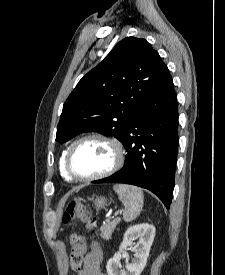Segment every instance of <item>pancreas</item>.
I'll list each match as a JSON object with an SVG mask.
<instances>
[{"label": "pancreas", "instance_id": "1", "mask_svg": "<svg viewBox=\"0 0 225 275\" xmlns=\"http://www.w3.org/2000/svg\"><path fill=\"white\" fill-rule=\"evenodd\" d=\"M120 222V219H115L113 221H107L100 228L101 237L105 240H109L111 235L116 227V225Z\"/></svg>", "mask_w": 225, "mask_h": 275}]
</instances>
